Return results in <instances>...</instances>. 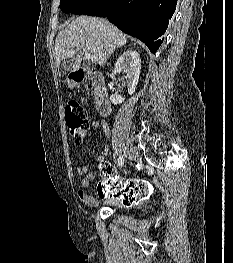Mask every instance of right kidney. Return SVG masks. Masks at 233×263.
<instances>
[{
	"mask_svg": "<svg viewBox=\"0 0 233 263\" xmlns=\"http://www.w3.org/2000/svg\"><path fill=\"white\" fill-rule=\"evenodd\" d=\"M115 71L117 73L125 74V78L128 82V93L132 95L135 92L136 86L139 81V75L141 70L140 55L136 51L127 50L117 60L115 64ZM124 98L118 94H112L110 101L114 104H121L124 102Z\"/></svg>",
	"mask_w": 233,
	"mask_h": 263,
	"instance_id": "ca27d5eb",
	"label": "right kidney"
}]
</instances>
